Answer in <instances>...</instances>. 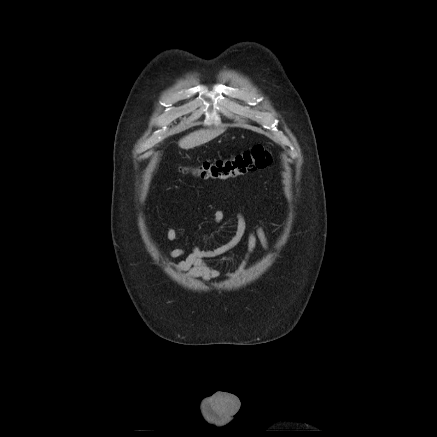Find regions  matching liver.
Returning a JSON list of instances; mask_svg holds the SVG:
<instances>
[{
	"instance_id": "liver-1",
	"label": "liver",
	"mask_w": 437,
	"mask_h": 437,
	"mask_svg": "<svg viewBox=\"0 0 437 437\" xmlns=\"http://www.w3.org/2000/svg\"><path fill=\"white\" fill-rule=\"evenodd\" d=\"M224 129H201L190 133L179 141L182 149H191L205 144L222 134Z\"/></svg>"
}]
</instances>
